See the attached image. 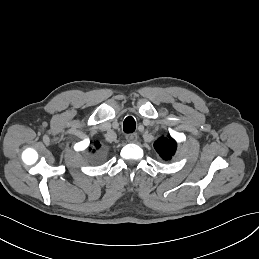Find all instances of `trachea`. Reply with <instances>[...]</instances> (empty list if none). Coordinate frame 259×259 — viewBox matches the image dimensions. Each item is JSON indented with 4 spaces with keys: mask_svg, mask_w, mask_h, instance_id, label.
<instances>
[{
    "mask_svg": "<svg viewBox=\"0 0 259 259\" xmlns=\"http://www.w3.org/2000/svg\"><path fill=\"white\" fill-rule=\"evenodd\" d=\"M124 132L131 133L135 131L136 123L133 117L129 116L124 120L123 124Z\"/></svg>",
    "mask_w": 259,
    "mask_h": 259,
    "instance_id": "3493384b",
    "label": "trachea"
}]
</instances>
